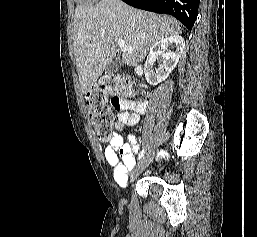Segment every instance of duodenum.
Returning <instances> with one entry per match:
<instances>
[{
  "label": "duodenum",
  "instance_id": "duodenum-1",
  "mask_svg": "<svg viewBox=\"0 0 257 237\" xmlns=\"http://www.w3.org/2000/svg\"><path fill=\"white\" fill-rule=\"evenodd\" d=\"M136 72L139 76H141L143 74V69H142V66L141 65H138L137 66V69H136Z\"/></svg>",
  "mask_w": 257,
  "mask_h": 237
}]
</instances>
